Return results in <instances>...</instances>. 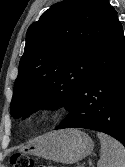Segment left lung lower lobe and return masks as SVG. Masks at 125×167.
Returning a JSON list of instances; mask_svg holds the SVG:
<instances>
[{"mask_svg": "<svg viewBox=\"0 0 125 167\" xmlns=\"http://www.w3.org/2000/svg\"><path fill=\"white\" fill-rule=\"evenodd\" d=\"M55 129L106 133L125 146V38L116 17L102 39L89 72Z\"/></svg>", "mask_w": 125, "mask_h": 167, "instance_id": "1", "label": "left lung lower lobe"}]
</instances>
